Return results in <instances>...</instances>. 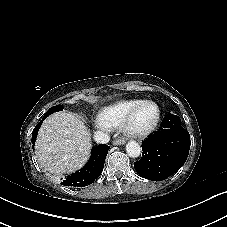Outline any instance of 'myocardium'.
<instances>
[{"label": "myocardium", "instance_id": "obj_1", "mask_svg": "<svg viewBox=\"0 0 227 227\" xmlns=\"http://www.w3.org/2000/svg\"><path fill=\"white\" fill-rule=\"evenodd\" d=\"M145 104H151L156 107V109H157L156 118L153 121V123L150 126H148L147 128H143V129L134 128L132 126L133 117L135 116V114L139 110V108ZM160 117H161V109H160V106L156 102H154L152 100H142L125 117V119L123 120V122L121 124V129L124 132V134L129 138H143L145 136H148L155 130V128L157 127V125L160 121Z\"/></svg>", "mask_w": 227, "mask_h": 227}]
</instances>
